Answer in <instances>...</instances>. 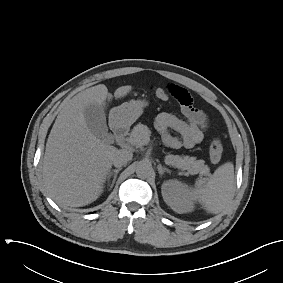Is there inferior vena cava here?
Masks as SVG:
<instances>
[{
  "label": "inferior vena cava",
  "instance_id": "inferior-vena-cava-1",
  "mask_svg": "<svg viewBox=\"0 0 283 283\" xmlns=\"http://www.w3.org/2000/svg\"><path fill=\"white\" fill-rule=\"evenodd\" d=\"M133 157L132 152L125 150V149H120L117 150L116 153L112 157V164L115 167H122L125 165L128 161H130Z\"/></svg>",
  "mask_w": 283,
  "mask_h": 283
}]
</instances>
